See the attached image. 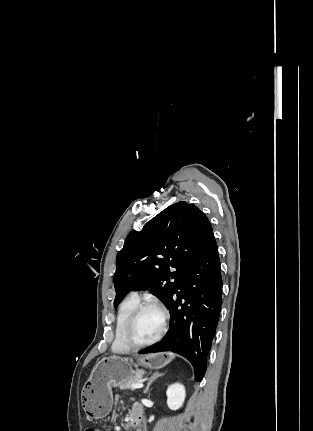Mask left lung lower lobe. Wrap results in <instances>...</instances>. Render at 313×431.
<instances>
[{
    "instance_id": "left-lung-lower-lobe-1",
    "label": "left lung lower lobe",
    "mask_w": 313,
    "mask_h": 431,
    "mask_svg": "<svg viewBox=\"0 0 313 431\" xmlns=\"http://www.w3.org/2000/svg\"><path fill=\"white\" fill-rule=\"evenodd\" d=\"M222 285L217 243L211 232L167 306L169 331L162 341L139 353H178L190 361L195 380L201 381L221 311Z\"/></svg>"
}]
</instances>
